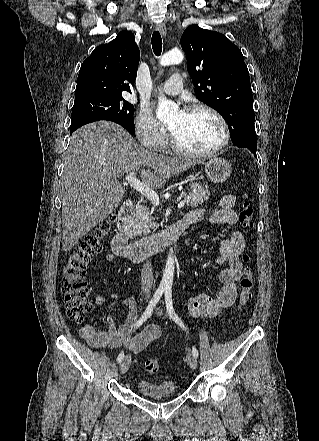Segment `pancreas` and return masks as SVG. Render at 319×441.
Instances as JSON below:
<instances>
[{
	"label": "pancreas",
	"instance_id": "pancreas-1",
	"mask_svg": "<svg viewBox=\"0 0 319 441\" xmlns=\"http://www.w3.org/2000/svg\"><path fill=\"white\" fill-rule=\"evenodd\" d=\"M190 187L195 192H188L187 194L182 192L181 197L185 199L188 206L197 207L208 199V186L207 184L191 183ZM157 226L152 222V218L148 216V208L146 206H138L132 213L131 225L128 231V235L131 238L147 235L150 233V228L155 229Z\"/></svg>",
	"mask_w": 319,
	"mask_h": 441
}]
</instances>
